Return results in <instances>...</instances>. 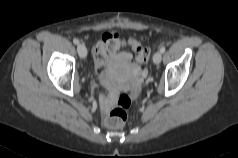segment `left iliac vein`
I'll return each mask as SVG.
<instances>
[{
  "mask_svg": "<svg viewBox=\"0 0 238 158\" xmlns=\"http://www.w3.org/2000/svg\"><path fill=\"white\" fill-rule=\"evenodd\" d=\"M161 59H162L161 52L158 51L153 55V62L155 64H159L161 62Z\"/></svg>",
  "mask_w": 238,
  "mask_h": 158,
  "instance_id": "left-iliac-vein-1",
  "label": "left iliac vein"
}]
</instances>
